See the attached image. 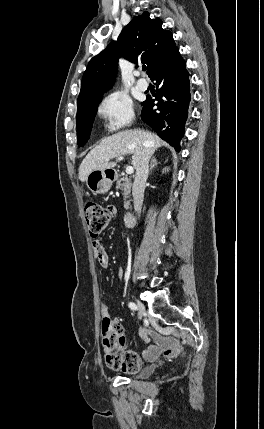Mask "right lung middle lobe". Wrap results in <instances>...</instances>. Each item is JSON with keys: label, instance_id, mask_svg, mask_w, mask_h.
Segmentation results:
<instances>
[{"label": "right lung middle lobe", "instance_id": "1", "mask_svg": "<svg viewBox=\"0 0 264 429\" xmlns=\"http://www.w3.org/2000/svg\"><path fill=\"white\" fill-rule=\"evenodd\" d=\"M100 101L101 97L77 107V143L79 147L84 146L89 139Z\"/></svg>", "mask_w": 264, "mask_h": 429}]
</instances>
